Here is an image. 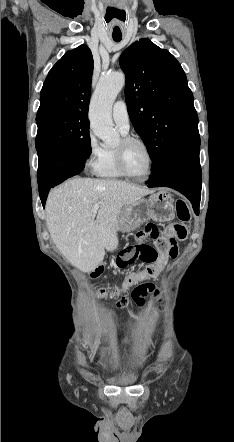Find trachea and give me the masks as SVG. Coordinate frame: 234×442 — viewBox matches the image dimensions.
Listing matches in <instances>:
<instances>
[{"instance_id":"1","label":"trachea","mask_w":234,"mask_h":442,"mask_svg":"<svg viewBox=\"0 0 234 442\" xmlns=\"http://www.w3.org/2000/svg\"><path fill=\"white\" fill-rule=\"evenodd\" d=\"M121 37H113V40L115 41V42H119V41H121Z\"/></svg>"}]
</instances>
